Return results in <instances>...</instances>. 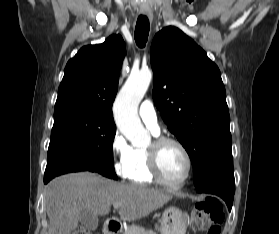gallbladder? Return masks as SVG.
<instances>
[{
	"label": "gallbladder",
	"instance_id": "1",
	"mask_svg": "<svg viewBox=\"0 0 279 234\" xmlns=\"http://www.w3.org/2000/svg\"><path fill=\"white\" fill-rule=\"evenodd\" d=\"M80 222L88 229L95 230L98 225V217L92 214L90 211L83 210L79 217Z\"/></svg>",
	"mask_w": 279,
	"mask_h": 234
}]
</instances>
